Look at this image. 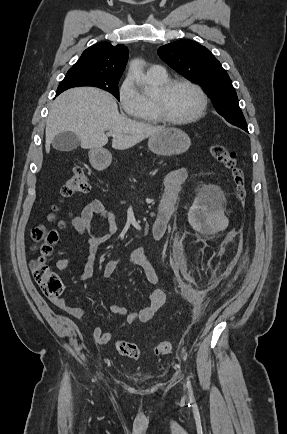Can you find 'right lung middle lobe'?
Listing matches in <instances>:
<instances>
[{
	"label": "right lung middle lobe",
	"instance_id": "dd1d6c3e",
	"mask_svg": "<svg viewBox=\"0 0 287 434\" xmlns=\"http://www.w3.org/2000/svg\"><path fill=\"white\" fill-rule=\"evenodd\" d=\"M119 79L120 78L93 76L78 72H67L65 78L59 84L57 92L62 93L69 88L77 86H93L110 92L119 100Z\"/></svg>",
	"mask_w": 287,
	"mask_h": 434
}]
</instances>
